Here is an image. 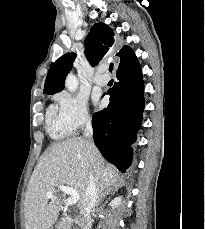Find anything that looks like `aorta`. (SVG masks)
I'll use <instances>...</instances> for the list:
<instances>
[{
	"label": "aorta",
	"instance_id": "aorta-1",
	"mask_svg": "<svg viewBox=\"0 0 205 229\" xmlns=\"http://www.w3.org/2000/svg\"><path fill=\"white\" fill-rule=\"evenodd\" d=\"M65 87L70 92H75L78 89V80L74 74L70 73L66 77Z\"/></svg>",
	"mask_w": 205,
	"mask_h": 229
}]
</instances>
